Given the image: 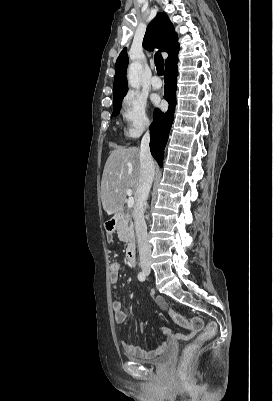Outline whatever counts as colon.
<instances>
[{"mask_svg": "<svg viewBox=\"0 0 273 401\" xmlns=\"http://www.w3.org/2000/svg\"><path fill=\"white\" fill-rule=\"evenodd\" d=\"M166 314L169 315V318L171 320H174L176 323L186 325V322H184L185 318L183 316H180L178 313H171V311L167 309ZM191 325L193 326V328H191L192 331L193 329H195L202 334H200L199 337L194 338V340H188L187 344H184L183 349L181 350L180 362L178 363L176 369V372L179 375V379L181 381L193 380V369L190 365L191 358H197L198 353H202L203 346L201 343L211 342L217 330V321L215 319H210L208 321L207 327H205V325H203L201 322H197L196 320H193L191 322Z\"/></svg>", "mask_w": 273, "mask_h": 401, "instance_id": "obj_1", "label": "colon"}]
</instances>
